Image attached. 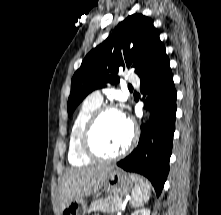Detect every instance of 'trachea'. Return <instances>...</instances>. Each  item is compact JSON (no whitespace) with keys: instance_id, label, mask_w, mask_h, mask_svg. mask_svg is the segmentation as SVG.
Returning <instances> with one entry per match:
<instances>
[{"instance_id":"3493384b","label":"trachea","mask_w":221,"mask_h":215,"mask_svg":"<svg viewBox=\"0 0 221 215\" xmlns=\"http://www.w3.org/2000/svg\"><path fill=\"white\" fill-rule=\"evenodd\" d=\"M128 87H129V88H132V86H131V85H129Z\"/></svg>"}]
</instances>
